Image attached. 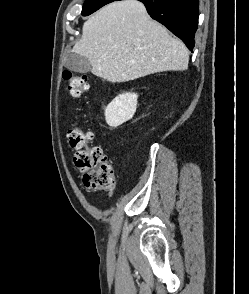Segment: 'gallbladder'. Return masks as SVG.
Masks as SVG:
<instances>
[{
  "mask_svg": "<svg viewBox=\"0 0 249 294\" xmlns=\"http://www.w3.org/2000/svg\"><path fill=\"white\" fill-rule=\"evenodd\" d=\"M64 66L68 70L78 73H87L91 70L89 60L86 57L73 52L67 55Z\"/></svg>",
  "mask_w": 249,
  "mask_h": 294,
  "instance_id": "bac80fb5",
  "label": "gallbladder"
}]
</instances>
